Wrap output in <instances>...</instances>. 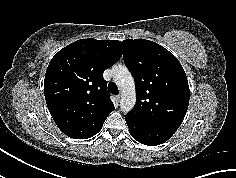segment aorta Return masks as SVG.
<instances>
[{
    "label": "aorta",
    "instance_id": "obj_1",
    "mask_svg": "<svg viewBox=\"0 0 236 178\" xmlns=\"http://www.w3.org/2000/svg\"><path fill=\"white\" fill-rule=\"evenodd\" d=\"M114 79L121 90L120 108L123 112H130L136 103V89L132 74L124 65L113 67Z\"/></svg>",
    "mask_w": 236,
    "mask_h": 178
}]
</instances>
